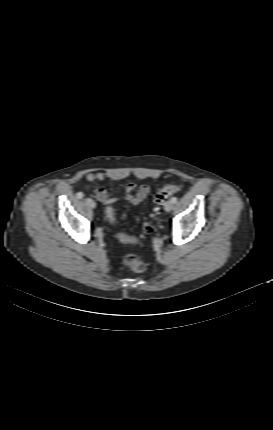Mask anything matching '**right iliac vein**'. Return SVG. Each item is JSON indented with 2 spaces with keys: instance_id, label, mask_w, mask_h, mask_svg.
<instances>
[{
  "instance_id": "1",
  "label": "right iliac vein",
  "mask_w": 273,
  "mask_h": 430,
  "mask_svg": "<svg viewBox=\"0 0 273 430\" xmlns=\"http://www.w3.org/2000/svg\"><path fill=\"white\" fill-rule=\"evenodd\" d=\"M85 201H86V204H87L90 208H95V207H96V203H95V201H93L92 199L87 198Z\"/></svg>"
}]
</instances>
